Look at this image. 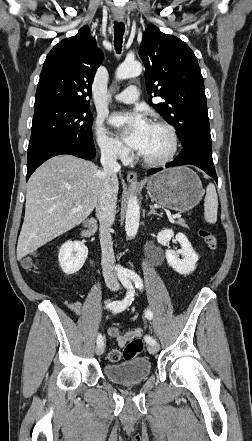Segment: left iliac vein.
<instances>
[{"mask_svg":"<svg viewBox=\"0 0 252 441\" xmlns=\"http://www.w3.org/2000/svg\"><path fill=\"white\" fill-rule=\"evenodd\" d=\"M159 350L158 344L155 342L153 344H150L148 347V351L150 354H156Z\"/></svg>","mask_w":252,"mask_h":441,"instance_id":"left-iliac-vein-1","label":"left iliac vein"}]
</instances>
